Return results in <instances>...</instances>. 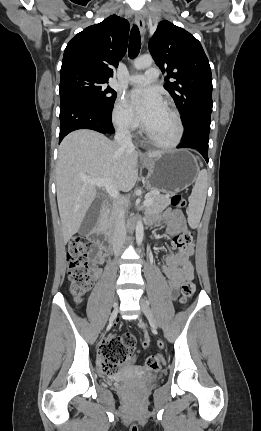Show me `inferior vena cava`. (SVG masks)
I'll return each instance as SVG.
<instances>
[{
  "mask_svg": "<svg viewBox=\"0 0 261 431\" xmlns=\"http://www.w3.org/2000/svg\"><path fill=\"white\" fill-rule=\"evenodd\" d=\"M115 142L123 148L134 149L131 134L125 128H120L115 133ZM112 215L114 221V230L112 236L113 250L116 255L120 254L124 248L126 229L124 210L119 202H114L112 207Z\"/></svg>",
  "mask_w": 261,
  "mask_h": 431,
  "instance_id": "inferior-vena-cava-1",
  "label": "inferior vena cava"
}]
</instances>
